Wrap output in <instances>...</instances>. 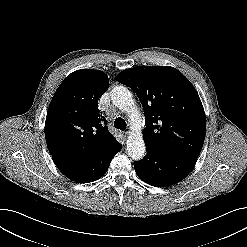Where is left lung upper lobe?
Masks as SVG:
<instances>
[{"instance_id":"5c2ea615","label":"left lung upper lobe","mask_w":247,"mask_h":247,"mask_svg":"<svg viewBox=\"0 0 247 247\" xmlns=\"http://www.w3.org/2000/svg\"><path fill=\"white\" fill-rule=\"evenodd\" d=\"M138 96L146 118V147L163 153L198 158L206 118L190 81L170 66H137L116 77Z\"/></svg>"}]
</instances>
